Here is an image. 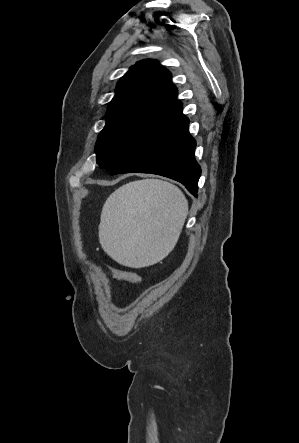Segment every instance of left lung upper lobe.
I'll return each mask as SVG.
<instances>
[{
	"mask_svg": "<svg viewBox=\"0 0 299 443\" xmlns=\"http://www.w3.org/2000/svg\"><path fill=\"white\" fill-rule=\"evenodd\" d=\"M95 151L100 168H112L176 102L170 72L156 60L137 62L119 80Z\"/></svg>",
	"mask_w": 299,
	"mask_h": 443,
	"instance_id": "obj_1",
	"label": "left lung upper lobe"
}]
</instances>
